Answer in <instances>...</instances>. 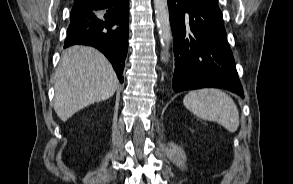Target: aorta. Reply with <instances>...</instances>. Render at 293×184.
<instances>
[{"label": "aorta", "instance_id": "762f6f07", "mask_svg": "<svg viewBox=\"0 0 293 184\" xmlns=\"http://www.w3.org/2000/svg\"><path fill=\"white\" fill-rule=\"evenodd\" d=\"M155 16L159 37L164 48L163 60L168 61V46L172 39L167 0H154Z\"/></svg>", "mask_w": 293, "mask_h": 184}]
</instances>
